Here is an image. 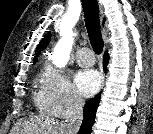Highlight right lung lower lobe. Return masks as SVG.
<instances>
[{
    "mask_svg": "<svg viewBox=\"0 0 153 134\" xmlns=\"http://www.w3.org/2000/svg\"><path fill=\"white\" fill-rule=\"evenodd\" d=\"M108 53L104 55V70L106 71V65L108 63ZM100 102V93L94 98L90 99L84 107V119L79 130V134H90L92 125L95 120L96 110Z\"/></svg>",
    "mask_w": 153,
    "mask_h": 134,
    "instance_id": "right-lung-lower-lobe-1",
    "label": "right lung lower lobe"
}]
</instances>
